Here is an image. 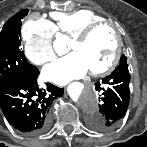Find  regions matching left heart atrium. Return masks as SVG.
Instances as JSON below:
<instances>
[{"instance_id": "39dd6f15", "label": "left heart atrium", "mask_w": 147, "mask_h": 147, "mask_svg": "<svg viewBox=\"0 0 147 147\" xmlns=\"http://www.w3.org/2000/svg\"><path fill=\"white\" fill-rule=\"evenodd\" d=\"M89 71L82 56L77 52L60 58L47 65L43 70L45 79L64 85L71 80L82 78Z\"/></svg>"}]
</instances>
